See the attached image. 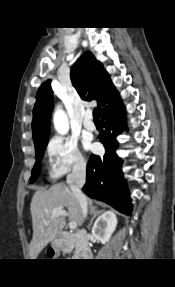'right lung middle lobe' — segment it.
Returning <instances> with one entry per match:
<instances>
[{"label":"right lung middle lobe","instance_id":"1","mask_svg":"<svg viewBox=\"0 0 175 287\" xmlns=\"http://www.w3.org/2000/svg\"><path fill=\"white\" fill-rule=\"evenodd\" d=\"M48 139L42 140L38 143H35V150H36V163L32 170V176L30 178V182H34L40 174L41 171V159L43 157L45 148L47 146Z\"/></svg>","mask_w":175,"mask_h":287}]
</instances>
